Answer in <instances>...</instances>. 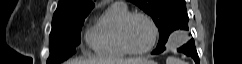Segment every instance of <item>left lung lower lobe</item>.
Returning <instances> with one entry per match:
<instances>
[{
    "instance_id": "0a47b994",
    "label": "left lung lower lobe",
    "mask_w": 242,
    "mask_h": 64,
    "mask_svg": "<svg viewBox=\"0 0 242 64\" xmlns=\"http://www.w3.org/2000/svg\"><path fill=\"white\" fill-rule=\"evenodd\" d=\"M165 49H166L165 46L157 47L152 52V54H159V53L163 52ZM177 51L182 52V53L192 57L194 59V61L196 62V64H199V57H198V54H197V51L195 48L194 39H191L189 42L184 44L182 47L178 48Z\"/></svg>"
}]
</instances>
